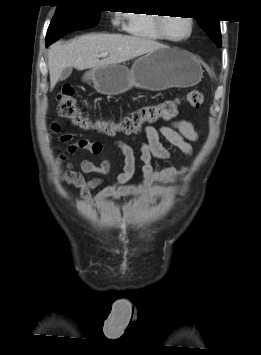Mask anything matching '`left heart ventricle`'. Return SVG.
<instances>
[{
  "mask_svg": "<svg viewBox=\"0 0 261 355\" xmlns=\"http://www.w3.org/2000/svg\"><path fill=\"white\" fill-rule=\"evenodd\" d=\"M167 34L172 38H182L189 33V22L184 17H170L165 22Z\"/></svg>",
  "mask_w": 261,
  "mask_h": 355,
  "instance_id": "1",
  "label": "left heart ventricle"
}]
</instances>
